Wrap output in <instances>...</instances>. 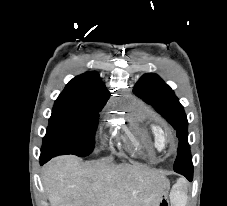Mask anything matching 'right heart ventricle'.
Instances as JSON below:
<instances>
[{"instance_id": "e07e8e85", "label": "right heart ventricle", "mask_w": 227, "mask_h": 206, "mask_svg": "<svg viewBox=\"0 0 227 206\" xmlns=\"http://www.w3.org/2000/svg\"><path fill=\"white\" fill-rule=\"evenodd\" d=\"M131 117L135 122H137L143 127L148 136L151 138L152 144L155 147V149L160 151L162 149L161 148V139L163 136L162 127L159 124L152 121L147 116V114L141 110L133 109L131 112Z\"/></svg>"}]
</instances>
